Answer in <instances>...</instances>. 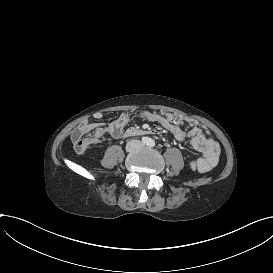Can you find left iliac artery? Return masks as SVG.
Wrapping results in <instances>:
<instances>
[{"label":"left iliac artery","mask_w":273,"mask_h":273,"mask_svg":"<svg viewBox=\"0 0 273 273\" xmlns=\"http://www.w3.org/2000/svg\"><path fill=\"white\" fill-rule=\"evenodd\" d=\"M148 145H149L150 147H153V146L155 145L154 140L150 139Z\"/></svg>","instance_id":"1"}]
</instances>
